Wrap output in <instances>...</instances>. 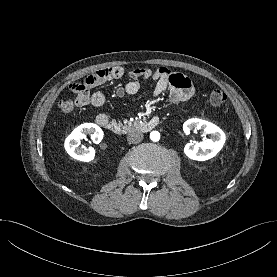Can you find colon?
<instances>
[{
    "mask_svg": "<svg viewBox=\"0 0 277 277\" xmlns=\"http://www.w3.org/2000/svg\"><path fill=\"white\" fill-rule=\"evenodd\" d=\"M75 88L83 89L77 86H75ZM209 102L213 106L220 107L226 102V94L219 89H215L209 94ZM59 108L64 114H71L76 108V103L72 100H62L59 103Z\"/></svg>",
    "mask_w": 277,
    "mask_h": 277,
    "instance_id": "1",
    "label": "colon"
}]
</instances>
